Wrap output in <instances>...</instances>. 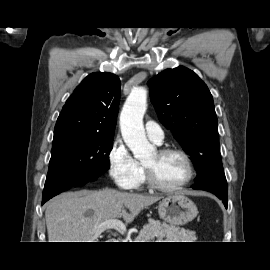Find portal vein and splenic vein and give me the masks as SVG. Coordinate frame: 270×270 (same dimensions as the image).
<instances>
[{"label":"portal vein and splenic vein","mask_w":270,"mask_h":270,"mask_svg":"<svg viewBox=\"0 0 270 270\" xmlns=\"http://www.w3.org/2000/svg\"><path fill=\"white\" fill-rule=\"evenodd\" d=\"M106 229H115L118 232H120L121 234H124L127 229L125 224L118 220V219H110V220H106L102 223H100L98 226H96L94 228V232L97 234L102 233L103 231H105Z\"/></svg>","instance_id":"obj_1"}]
</instances>
